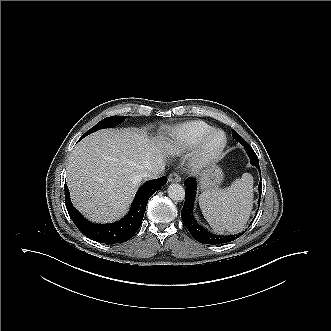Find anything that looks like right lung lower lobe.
<instances>
[{
  "label": "right lung lower lobe",
  "instance_id": "1",
  "mask_svg": "<svg viewBox=\"0 0 331 331\" xmlns=\"http://www.w3.org/2000/svg\"><path fill=\"white\" fill-rule=\"evenodd\" d=\"M166 182L167 177L163 176L159 179L150 180L144 183L137 191L126 217L111 224L98 225L84 219L80 212L73 207L66 184L65 204L72 221L85 236L101 243H121L129 240L139 229L145 213L147 201L151 195L166 184Z\"/></svg>",
  "mask_w": 331,
  "mask_h": 331
}]
</instances>
